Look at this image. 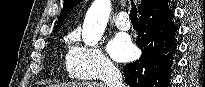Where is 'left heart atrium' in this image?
Wrapping results in <instances>:
<instances>
[{
    "label": "left heart atrium",
    "mask_w": 205,
    "mask_h": 87,
    "mask_svg": "<svg viewBox=\"0 0 205 87\" xmlns=\"http://www.w3.org/2000/svg\"><path fill=\"white\" fill-rule=\"evenodd\" d=\"M109 52L117 61H126L133 57L134 46L124 35H117L109 44Z\"/></svg>",
    "instance_id": "obj_1"
}]
</instances>
